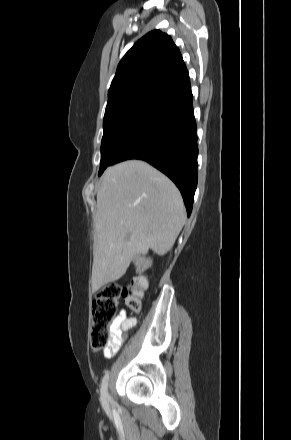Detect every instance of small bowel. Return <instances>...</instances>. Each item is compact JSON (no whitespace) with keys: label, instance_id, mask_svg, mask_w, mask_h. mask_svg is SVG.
Returning a JSON list of instances; mask_svg holds the SVG:
<instances>
[{"label":"small bowel","instance_id":"small-bowel-1","mask_svg":"<svg viewBox=\"0 0 291 440\" xmlns=\"http://www.w3.org/2000/svg\"><path fill=\"white\" fill-rule=\"evenodd\" d=\"M136 323L137 319L135 317L128 316L126 310H121L109 328L110 344L104 349L106 357H111L117 352L122 342V333L133 328Z\"/></svg>","mask_w":291,"mask_h":440}]
</instances>
